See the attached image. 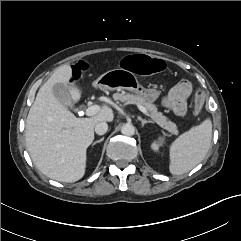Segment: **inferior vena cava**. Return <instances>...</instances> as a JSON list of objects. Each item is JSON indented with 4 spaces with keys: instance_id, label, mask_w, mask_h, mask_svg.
<instances>
[{
    "instance_id": "obj_1",
    "label": "inferior vena cava",
    "mask_w": 241,
    "mask_h": 241,
    "mask_svg": "<svg viewBox=\"0 0 241 241\" xmlns=\"http://www.w3.org/2000/svg\"><path fill=\"white\" fill-rule=\"evenodd\" d=\"M108 130V125L105 121L99 122L95 125V132L98 135H104Z\"/></svg>"
}]
</instances>
